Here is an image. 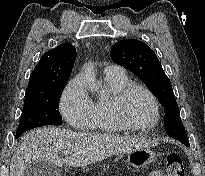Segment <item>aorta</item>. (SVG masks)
Listing matches in <instances>:
<instances>
[{
	"mask_svg": "<svg viewBox=\"0 0 205 176\" xmlns=\"http://www.w3.org/2000/svg\"><path fill=\"white\" fill-rule=\"evenodd\" d=\"M84 74H85V83L87 88L92 92H100L101 91V85L96 80V75L93 69V66L91 64H86L84 66Z\"/></svg>",
	"mask_w": 205,
	"mask_h": 176,
	"instance_id": "aorta-1",
	"label": "aorta"
}]
</instances>
